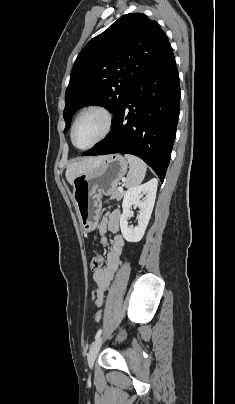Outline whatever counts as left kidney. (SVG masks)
<instances>
[{"label":"left kidney","instance_id":"obj_1","mask_svg":"<svg viewBox=\"0 0 235 404\" xmlns=\"http://www.w3.org/2000/svg\"><path fill=\"white\" fill-rule=\"evenodd\" d=\"M157 179H151L147 183L128 189L122 202L123 212L120 217V228L124 239L128 242H139L145 233L150 220L157 192ZM145 198L141 201L142 195ZM132 205L139 207L137 216L138 224L135 227L128 226V219L131 217L130 208Z\"/></svg>","mask_w":235,"mask_h":404}]
</instances>
